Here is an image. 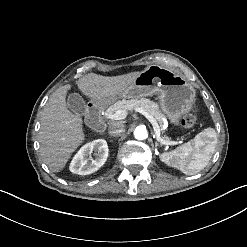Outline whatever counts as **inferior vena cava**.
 Wrapping results in <instances>:
<instances>
[{"label": "inferior vena cava", "instance_id": "1", "mask_svg": "<svg viewBox=\"0 0 247 247\" xmlns=\"http://www.w3.org/2000/svg\"><path fill=\"white\" fill-rule=\"evenodd\" d=\"M108 131L110 135L118 137L126 131V127L122 122H113L109 125Z\"/></svg>", "mask_w": 247, "mask_h": 247}]
</instances>
